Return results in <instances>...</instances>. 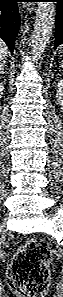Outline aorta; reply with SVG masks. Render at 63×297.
<instances>
[{
    "label": "aorta",
    "instance_id": "1",
    "mask_svg": "<svg viewBox=\"0 0 63 297\" xmlns=\"http://www.w3.org/2000/svg\"><path fill=\"white\" fill-rule=\"evenodd\" d=\"M55 26V6L52 2H39L31 37V54L38 60L44 52Z\"/></svg>",
    "mask_w": 63,
    "mask_h": 297
}]
</instances>
